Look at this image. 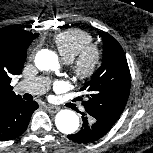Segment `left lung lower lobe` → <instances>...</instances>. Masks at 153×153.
Returning <instances> with one entry per match:
<instances>
[{"label": "left lung lower lobe", "mask_w": 153, "mask_h": 153, "mask_svg": "<svg viewBox=\"0 0 153 153\" xmlns=\"http://www.w3.org/2000/svg\"><path fill=\"white\" fill-rule=\"evenodd\" d=\"M83 126L81 130L67 137L77 143H91L100 139L110 129L102 125L99 121L94 120L89 115L82 113Z\"/></svg>", "instance_id": "left-lung-lower-lobe-1"}]
</instances>
